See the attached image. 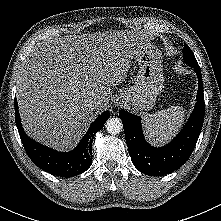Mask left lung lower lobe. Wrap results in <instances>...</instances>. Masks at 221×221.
Listing matches in <instances>:
<instances>
[{
  "label": "left lung lower lobe",
  "mask_w": 221,
  "mask_h": 221,
  "mask_svg": "<svg viewBox=\"0 0 221 221\" xmlns=\"http://www.w3.org/2000/svg\"><path fill=\"white\" fill-rule=\"evenodd\" d=\"M194 71L198 77L194 110L180 133L166 146L157 148L148 144L143 136L141 118L125 110L119 112L132 162L144 174L162 176L173 172L188 160L197 143L203 126L205 103L200 68H194Z\"/></svg>",
  "instance_id": "1"
}]
</instances>
